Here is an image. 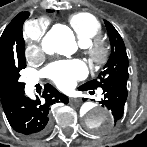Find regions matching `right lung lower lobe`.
<instances>
[{
	"instance_id": "right-lung-lower-lobe-1",
	"label": "right lung lower lobe",
	"mask_w": 147,
	"mask_h": 147,
	"mask_svg": "<svg viewBox=\"0 0 147 147\" xmlns=\"http://www.w3.org/2000/svg\"><path fill=\"white\" fill-rule=\"evenodd\" d=\"M41 97L32 100L24 92L2 101L8 122L16 132L28 137L45 134L49 128L50 105L58 101L68 103V97L50 84L45 85Z\"/></svg>"
}]
</instances>
